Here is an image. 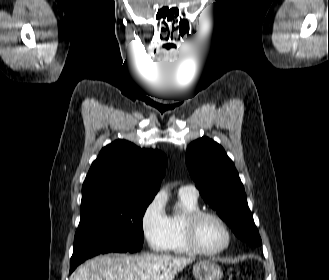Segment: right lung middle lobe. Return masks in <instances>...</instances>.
Returning a JSON list of instances; mask_svg holds the SVG:
<instances>
[{
	"label": "right lung middle lobe",
	"mask_w": 329,
	"mask_h": 280,
	"mask_svg": "<svg viewBox=\"0 0 329 280\" xmlns=\"http://www.w3.org/2000/svg\"><path fill=\"white\" fill-rule=\"evenodd\" d=\"M154 197L122 196L81 206L70 269L101 252H137L142 248V218Z\"/></svg>",
	"instance_id": "dd1d6c3e"
}]
</instances>
